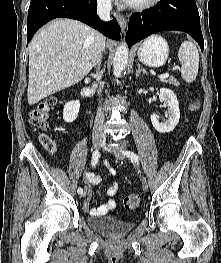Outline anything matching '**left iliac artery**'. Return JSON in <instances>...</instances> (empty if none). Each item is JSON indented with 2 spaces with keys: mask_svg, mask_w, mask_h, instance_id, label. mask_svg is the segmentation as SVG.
Returning <instances> with one entry per match:
<instances>
[{
  "mask_svg": "<svg viewBox=\"0 0 221 263\" xmlns=\"http://www.w3.org/2000/svg\"><path fill=\"white\" fill-rule=\"evenodd\" d=\"M122 153L126 155L131 160V162H139V157L136 153L132 151H122Z\"/></svg>",
  "mask_w": 221,
  "mask_h": 263,
  "instance_id": "44dca946",
  "label": "left iliac artery"
}]
</instances>
